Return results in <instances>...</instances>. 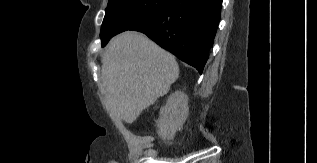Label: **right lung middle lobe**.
<instances>
[{
  "instance_id": "dd1d6c3e",
  "label": "right lung middle lobe",
  "mask_w": 317,
  "mask_h": 163,
  "mask_svg": "<svg viewBox=\"0 0 317 163\" xmlns=\"http://www.w3.org/2000/svg\"><path fill=\"white\" fill-rule=\"evenodd\" d=\"M171 0H109L101 27V41L105 46L114 35L153 17Z\"/></svg>"
}]
</instances>
